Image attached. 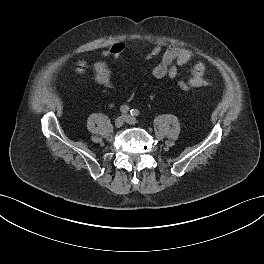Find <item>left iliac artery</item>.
Returning <instances> with one entry per match:
<instances>
[{"label":"left iliac artery","mask_w":264,"mask_h":264,"mask_svg":"<svg viewBox=\"0 0 264 264\" xmlns=\"http://www.w3.org/2000/svg\"><path fill=\"white\" fill-rule=\"evenodd\" d=\"M130 113H131L132 116H138L139 115V111L137 109H132L130 111Z\"/></svg>","instance_id":"left-iliac-artery-1"}]
</instances>
